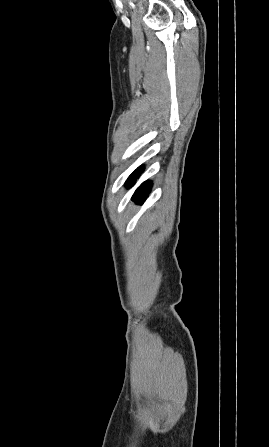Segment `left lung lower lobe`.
I'll use <instances>...</instances> for the list:
<instances>
[{"label": "left lung lower lobe", "instance_id": "0a47b994", "mask_svg": "<svg viewBox=\"0 0 269 447\" xmlns=\"http://www.w3.org/2000/svg\"><path fill=\"white\" fill-rule=\"evenodd\" d=\"M143 170H144V167H143V166H141V167H139L138 169H136V170L132 173V175H130V177L128 178V180H127V182H126V185H127L128 187H131V186L135 183L137 177H139V175L143 172ZM151 186H152V184H151L150 181H146V182H144V183H143V184H142V185L135 191V193H134V195H133V197H132V200H134L137 204H143L144 200L147 198L148 194H149L150 191H151Z\"/></svg>", "mask_w": 269, "mask_h": 447}]
</instances>
